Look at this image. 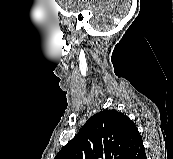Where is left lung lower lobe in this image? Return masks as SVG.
Returning <instances> with one entry per match:
<instances>
[{
    "instance_id": "obj_1",
    "label": "left lung lower lobe",
    "mask_w": 173,
    "mask_h": 159,
    "mask_svg": "<svg viewBox=\"0 0 173 159\" xmlns=\"http://www.w3.org/2000/svg\"><path fill=\"white\" fill-rule=\"evenodd\" d=\"M128 159H147L143 142H141L136 149L130 154Z\"/></svg>"
}]
</instances>
